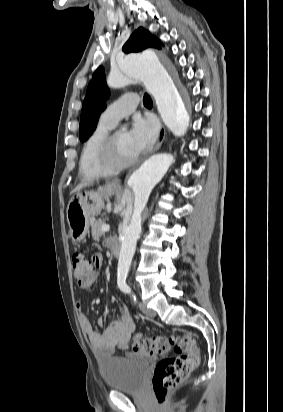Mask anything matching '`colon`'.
<instances>
[{
	"label": "colon",
	"instance_id": "obj_1",
	"mask_svg": "<svg viewBox=\"0 0 283 412\" xmlns=\"http://www.w3.org/2000/svg\"><path fill=\"white\" fill-rule=\"evenodd\" d=\"M99 263L94 255L87 260L84 255L76 253L72 257L74 278L84 282L92 269ZM171 347L177 356L166 357L156 366L152 378V388L158 404L163 405L169 392L185 381L200 362V351L193 334H175L170 337L157 336L144 339L134 344L135 350L143 357L162 355Z\"/></svg>",
	"mask_w": 283,
	"mask_h": 412
}]
</instances>
